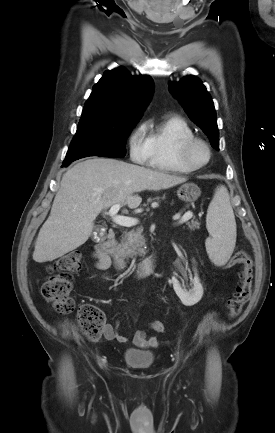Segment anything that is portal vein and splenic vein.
<instances>
[{"label": "portal vein and splenic vein", "mask_w": 275, "mask_h": 433, "mask_svg": "<svg viewBox=\"0 0 275 433\" xmlns=\"http://www.w3.org/2000/svg\"><path fill=\"white\" fill-rule=\"evenodd\" d=\"M120 208H121V204H115V205L111 206V208L108 212L109 216L112 218V220L115 224L120 225V226H125V227H131V226L138 224V219H136V218L118 215L117 213H118ZM192 216H193V214L191 212L185 213L181 217V219L179 220V224H183V223L187 222L189 219L192 218Z\"/></svg>", "instance_id": "obj_1"}]
</instances>
